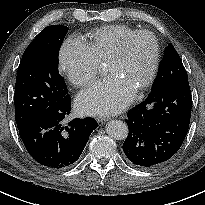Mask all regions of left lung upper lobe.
Instances as JSON below:
<instances>
[{"instance_id": "left-lung-upper-lobe-1", "label": "left lung upper lobe", "mask_w": 205, "mask_h": 205, "mask_svg": "<svg viewBox=\"0 0 205 205\" xmlns=\"http://www.w3.org/2000/svg\"><path fill=\"white\" fill-rule=\"evenodd\" d=\"M182 78H187V72L175 48L172 44H169L165 49L163 60L151 91L165 88Z\"/></svg>"}]
</instances>
